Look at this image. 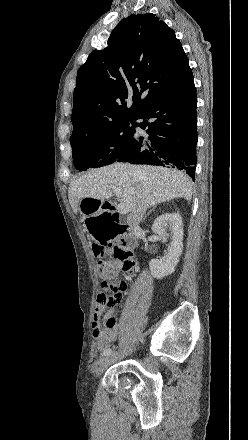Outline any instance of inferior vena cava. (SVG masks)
<instances>
[{
    "mask_svg": "<svg viewBox=\"0 0 248 440\" xmlns=\"http://www.w3.org/2000/svg\"><path fill=\"white\" fill-rule=\"evenodd\" d=\"M146 209V205L143 202H140L136 210L129 215L128 220L135 228L139 227V223L141 222Z\"/></svg>",
    "mask_w": 248,
    "mask_h": 440,
    "instance_id": "1",
    "label": "inferior vena cava"
}]
</instances>
